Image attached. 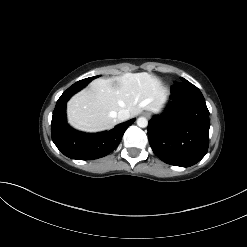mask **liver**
<instances>
[{"instance_id": "obj_1", "label": "liver", "mask_w": 247, "mask_h": 247, "mask_svg": "<svg viewBox=\"0 0 247 247\" xmlns=\"http://www.w3.org/2000/svg\"><path fill=\"white\" fill-rule=\"evenodd\" d=\"M166 96L167 90L161 81L146 72L98 78L69 100L68 122L85 132L109 130L120 122L117 118L120 110H128L131 117L143 110L158 113Z\"/></svg>"}]
</instances>
